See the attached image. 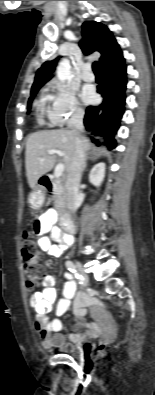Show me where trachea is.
<instances>
[{
  "instance_id": "obj_1",
  "label": "trachea",
  "mask_w": 155,
  "mask_h": 395,
  "mask_svg": "<svg viewBox=\"0 0 155 395\" xmlns=\"http://www.w3.org/2000/svg\"><path fill=\"white\" fill-rule=\"evenodd\" d=\"M92 69H93V71H94L95 73H100V69H99V67H98V62H94V63L92 64Z\"/></svg>"
}]
</instances>
